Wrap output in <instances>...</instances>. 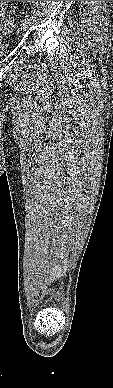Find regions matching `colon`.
<instances>
[{
  "label": "colon",
  "mask_w": 113,
  "mask_h": 388,
  "mask_svg": "<svg viewBox=\"0 0 113 388\" xmlns=\"http://www.w3.org/2000/svg\"><path fill=\"white\" fill-rule=\"evenodd\" d=\"M0 5L3 6L4 5L3 2H0Z\"/></svg>",
  "instance_id": "colon-1"
}]
</instances>
